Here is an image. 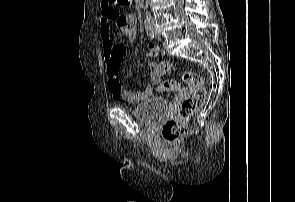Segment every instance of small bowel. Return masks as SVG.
<instances>
[{"label":"small bowel","instance_id":"c3829d8e","mask_svg":"<svg viewBox=\"0 0 295 202\" xmlns=\"http://www.w3.org/2000/svg\"><path fill=\"white\" fill-rule=\"evenodd\" d=\"M100 8V33L103 41L108 89L116 99L130 103H138L150 98L154 94L155 86L160 82L162 75H153V72L149 71L152 85L147 86L141 91H131L122 88L119 79V69L121 59L126 54V49L123 45L114 46L113 36L111 35V29L114 25L120 29L121 33L127 39L134 40L137 35L138 25L136 14L130 13L121 15L116 8L111 6L110 0H101ZM148 48L150 56L159 53V50L153 45H149ZM183 98H190V89H188V85H181L179 98H172L170 107H179V103H183Z\"/></svg>","mask_w":295,"mask_h":202}]
</instances>
